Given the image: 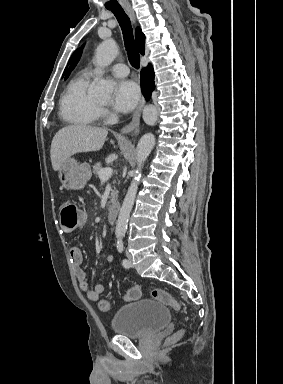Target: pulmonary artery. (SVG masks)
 Wrapping results in <instances>:
<instances>
[{
	"label": "pulmonary artery",
	"instance_id": "pulmonary-artery-1",
	"mask_svg": "<svg viewBox=\"0 0 283 384\" xmlns=\"http://www.w3.org/2000/svg\"><path fill=\"white\" fill-rule=\"evenodd\" d=\"M104 73H111L116 77H125L128 75L129 69L124 64L114 63L108 67H95L89 72L92 77H98Z\"/></svg>",
	"mask_w": 283,
	"mask_h": 384
}]
</instances>
